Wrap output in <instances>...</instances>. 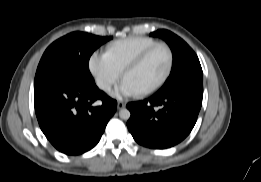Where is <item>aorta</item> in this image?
<instances>
[{
    "label": "aorta",
    "mask_w": 261,
    "mask_h": 182,
    "mask_svg": "<svg viewBox=\"0 0 261 182\" xmlns=\"http://www.w3.org/2000/svg\"><path fill=\"white\" fill-rule=\"evenodd\" d=\"M130 115H131L130 111L126 108L121 109L119 111V116H120L121 119L128 120L130 118Z\"/></svg>",
    "instance_id": "aorta-1"
}]
</instances>
